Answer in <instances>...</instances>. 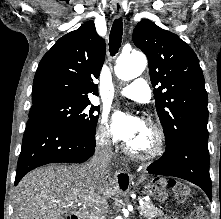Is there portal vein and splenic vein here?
<instances>
[{
  "instance_id": "18ae733b",
  "label": "portal vein and splenic vein",
  "mask_w": 221,
  "mask_h": 219,
  "mask_svg": "<svg viewBox=\"0 0 221 219\" xmlns=\"http://www.w3.org/2000/svg\"><path fill=\"white\" fill-rule=\"evenodd\" d=\"M75 204H77V206H81L82 204H86L85 201H76ZM140 205H143V202H140ZM139 209H141V206L139 207Z\"/></svg>"
}]
</instances>
